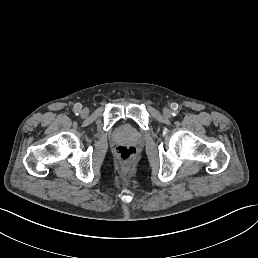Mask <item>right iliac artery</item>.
I'll return each instance as SVG.
<instances>
[{
    "label": "right iliac artery",
    "mask_w": 258,
    "mask_h": 258,
    "mask_svg": "<svg viewBox=\"0 0 258 258\" xmlns=\"http://www.w3.org/2000/svg\"><path fill=\"white\" fill-rule=\"evenodd\" d=\"M74 113H75V115H77V116H78V115H80V114H81V111H80V110L75 109V110H74Z\"/></svg>",
    "instance_id": "82829eb1"
}]
</instances>
